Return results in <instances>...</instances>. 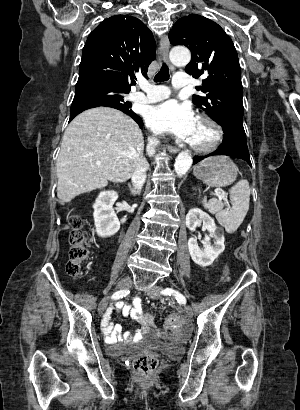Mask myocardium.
Segmentation results:
<instances>
[{
	"label": "myocardium",
	"mask_w": 300,
	"mask_h": 410,
	"mask_svg": "<svg viewBox=\"0 0 300 410\" xmlns=\"http://www.w3.org/2000/svg\"><path fill=\"white\" fill-rule=\"evenodd\" d=\"M198 120L210 126L215 133V137L213 141L207 145H195V144L189 143V146L193 151L198 152V153L212 152L222 144L224 140V129L220 125L219 122H217L215 119H213L212 117L208 115L201 114L198 116Z\"/></svg>",
	"instance_id": "1"
}]
</instances>
